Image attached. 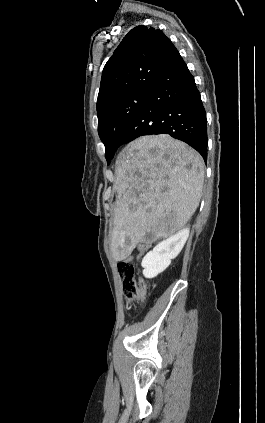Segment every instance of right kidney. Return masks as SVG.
Segmentation results:
<instances>
[{"mask_svg":"<svg viewBox=\"0 0 265 423\" xmlns=\"http://www.w3.org/2000/svg\"><path fill=\"white\" fill-rule=\"evenodd\" d=\"M189 236V229H182L175 235L160 242L142 260L143 275L152 279L162 273L181 252Z\"/></svg>","mask_w":265,"mask_h":423,"instance_id":"obj_1","label":"right kidney"}]
</instances>
